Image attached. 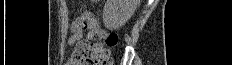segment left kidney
<instances>
[{"label": "left kidney", "instance_id": "obj_1", "mask_svg": "<svg viewBox=\"0 0 232 65\" xmlns=\"http://www.w3.org/2000/svg\"><path fill=\"white\" fill-rule=\"evenodd\" d=\"M138 0H107L103 9V22L107 29L121 28L134 14Z\"/></svg>", "mask_w": 232, "mask_h": 65}]
</instances>
